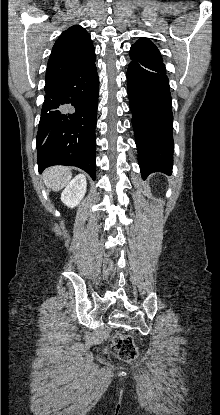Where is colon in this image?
Here are the masks:
<instances>
[{"label": "colon", "instance_id": "5ec220e1", "mask_svg": "<svg viewBox=\"0 0 220 415\" xmlns=\"http://www.w3.org/2000/svg\"><path fill=\"white\" fill-rule=\"evenodd\" d=\"M112 349L124 361H132L137 357V348L130 336L115 333L112 336Z\"/></svg>", "mask_w": 220, "mask_h": 415}]
</instances>
